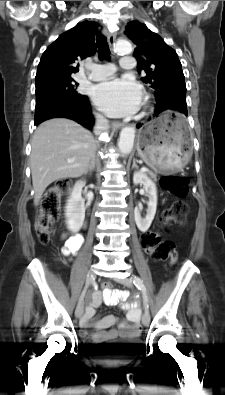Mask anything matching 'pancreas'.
<instances>
[{
	"label": "pancreas",
	"instance_id": "1",
	"mask_svg": "<svg viewBox=\"0 0 225 395\" xmlns=\"http://www.w3.org/2000/svg\"><path fill=\"white\" fill-rule=\"evenodd\" d=\"M147 173H148L152 178H154V179L156 178V174H154L153 172L148 171Z\"/></svg>",
	"mask_w": 225,
	"mask_h": 395
}]
</instances>
